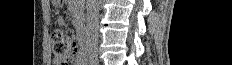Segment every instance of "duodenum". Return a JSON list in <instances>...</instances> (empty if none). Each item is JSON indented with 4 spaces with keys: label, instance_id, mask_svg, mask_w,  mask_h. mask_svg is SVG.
<instances>
[{
    "label": "duodenum",
    "instance_id": "duodenum-1",
    "mask_svg": "<svg viewBox=\"0 0 232 65\" xmlns=\"http://www.w3.org/2000/svg\"><path fill=\"white\" fill-rule=\"evenodd\" d=\"M78 42L82 50L87 51L88 38L85 30H81L78 36Z\"/></svg>",
    "mask_w": 232,
    "mask_h": 65
}]
</instances>
